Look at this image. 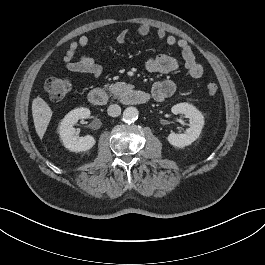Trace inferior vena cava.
Segmentation results:
<instances>
[{
    "instance_id": "obj_1",
    "label": "inferior vena cava",
    "mask_w": 265,
    "mask_h": 265,
    "mask_svg": "<svg viewBox=\"0 0 265 265\" xmlns=\"http://www.w3.org/2000/svg\"><path fill=\"white\" fill-rule=\"evenodd\" d=\"M107 113L111 117H117L121 114V107L117 104L109 105Z\"/></svg>"
}]
</instances>
